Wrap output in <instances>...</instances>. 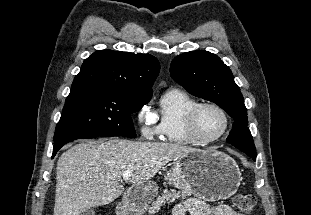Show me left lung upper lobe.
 <instances>
[{
    "label": "left lung upper lobe",
    "mask_w": 311,
    "mask_h": 215,
    "mask_svg": "<svg viewBox=\"0 0 311 215\" xmlns=\"http://www.w3.org/2000/svg\"><path fill=\"white\" fill-rule=\"evenodd\" d=\"M170 74L190 94L224 109L234 119L226 141L250 157H256L243 95L231 70L218 56L203 50L183 53L171 62Z\"/></svg>",
    "instance_id": "1"
}]
</instances>
